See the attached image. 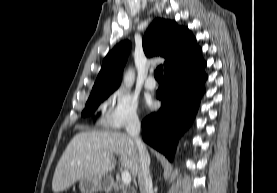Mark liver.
<instances>
[{"instance_id":"1","label":"liver","mask_w":277,"mask_h":193,"mask_svg":"<svg viewBox=\"0 0 277 193\" xmlns=\"http://www.w3.org/2000/svg\"><path fill=\"white\" fill-rule=\"evenodd\" d=\"M114 155L120 157L121 165L130 170L133 177L138 175L139 154L128 134L111 131L76 134L56 166L52 190L62 192L84 177L107 175L115 168Z\"/></svg>"}]
</instances>
